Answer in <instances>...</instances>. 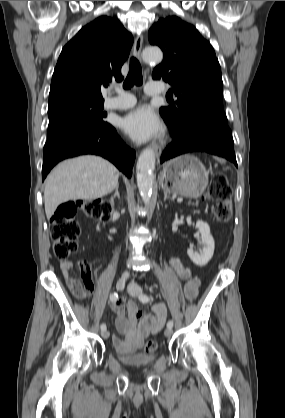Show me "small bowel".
Instances as JSON below:
<instances>
[{
    "label": "small bowel",
    "instance_id": "1",
    "mask_svg": "<svg viewBox=\"0 0 285 418\" xmlns=\"http://www.w3.org/2000/svg\"><path fill=\"white\" fill-rule=\"evenodd\" d=\"M180 279L185 281L183 292L187 299H193L198 295L201 284L200 278L194 275L193 270L185 266L179 259L173 258L170 262ZM68 270L64 278L69 288H73L77 282L85 284L89 292L94 290V282L91 266L88 262L77 260L65 265ZM75 266L79 268V276L75 275ZM111 311L117 316V326L120 332L127 337L123 342L118 336H113L112 341L117 350L128 352L141 348L144 338L158 333L166 322L168 312L164 303L158 302L153 306V312L143 314L134 302L127 303L128 317L124 316L122 300L112 304Z\"/></svg>",
    "mask_w": 285,
    "mask_h": 418
}]
</instances>
